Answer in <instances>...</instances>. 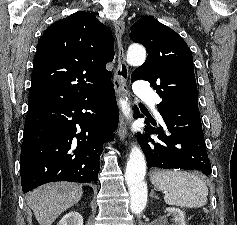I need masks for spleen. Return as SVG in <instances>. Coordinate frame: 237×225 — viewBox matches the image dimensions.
I'll use <instances>...</instances> for the list:
<instances>
[{
    "instance_id": "obj_1",
    "label": "spleen",
    "mask_w": 237,
    "mask_h": 225,
    "mask_svg": "<svg viewBox=\"0 0 237 225\" xmlns=\"http://www.w3.org/2000/svg\"><path fill=\"white\" fill-rule=\"evenodd\" d=\"M150 180L157 189L164 191V201L169 205L199 208L207 203V185L193 173L157 170L152 172Z\"/></svg>"
}]
</instances>
